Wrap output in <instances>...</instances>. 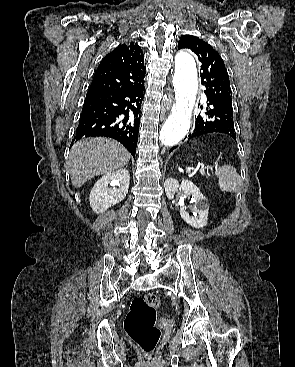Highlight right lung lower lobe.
Masks as SVG:
<instances>
[{
	"label": "right lung lower lobe",
	"instance_id": "obj_1",
	"mask_svg": "<svg viewBox=\"0 0 295 367\" xmlns=\"http://www.w3.org/2000/svg\"><path fill=\"white\" fill-rule=\"evenodd\" d=\"M144 85L125 90H88L74 142L105 136L122 143L135 157Z\"/></svg>",
	"mask_w": 295,
	"mask_h": 367
}]
</instances>
